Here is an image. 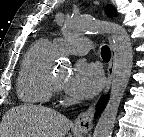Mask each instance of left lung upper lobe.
Instances as JSON below:
<instances>
[{"instance_id":"left-lung-upper-lobe-1","label":"left lung upper lobe","mask_w":144,"mask_h":137,"mask_svg":"<svg viewBox=\"0 0 144 137\" xmlns=\"http://www.w3.org/2000/svg\"><path fill=\"white\" fill-rule=\"evenodd\" d=\"M106 14L108 16H114L115 15V10L111 6L106 7Z\"/></svg>"}]
</instances>
